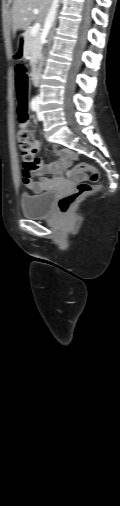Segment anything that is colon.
<instances>
[{
  "mask_svg": "<svg viewBox=\"0 0 120 506\" xmlns=\"http://www.w3.org/2000/svg\"><path fill=\"white\" fill-rule=\"evenodd\" d=\"M16 51V50H15ZM16 60H25V58H17ZM16 77V92H17V114L18 120L21 125L26 124L28 121V102H27V94H28V77L29 72L27 69H17L15 72ZM18 145L21 151V157L23 161V166L26 171H34L37 169L39 165L38 158L36 157L38 151V144L35 140L33 134L26 130L21 129L17 133ZM73 172L80 171H88L90 172V183L89 182H80L77 184L75 191L69 193L65 196H62L57 203L58 211L61 213L67 212L71 206L76 203L81 198L93 193L97 186V183L100 179L99 172L87 163H79L72 169Z\"/></svg>",
  "mask_w": 120,
  "mask_h": 506,
  "instance_id": "colon-1",
  "label": "colon"
}]
</instances>
